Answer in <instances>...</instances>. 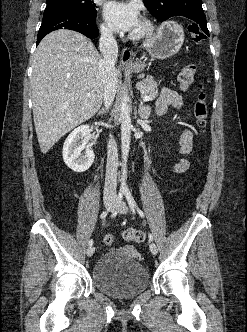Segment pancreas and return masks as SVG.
Returning <instances> with one entry per match:
<instances>
[{"mask_svg":"<svg viewBox=\"0 0 247 332\" xmlns=\"http://www.w3.org/2000/svg\"><path fill=\"white\" fill-rule=\"evenodd\" d=\"M137 88L142 96H150L151 99H156L158 97V86L152 77H148L143 81L137 83Z\"/></svg>","mask_w":247,"mask_h":332,"instance_id":"pancreas-1","label":"pancreas"}]
</instances>
